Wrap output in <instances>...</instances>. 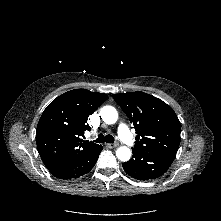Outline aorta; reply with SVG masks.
I'll list each match as a JSON object with an SVG mask.
<instances>
[{
	"instance_id": "aorta-1",
	"label": "aorta",
	"mask_w": 221,
	"mask_h": 221,
	"mask_svg": "<svg viewBox=\"0 0 221 221\" xmlns=\"http://www.w3.org/2000/svg\"><path fill=\"white\" fill-rule=\"evenodd\" d=\"M100 116L106 124H114L118 119L117 110L112 106H104L100 110ZM116 156L119 160L125 162L131 157V151L126 146H121L116 150Z\"/></svg>"
}]
</instances>
